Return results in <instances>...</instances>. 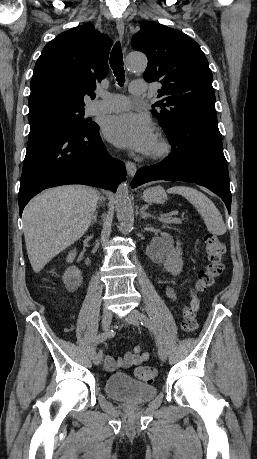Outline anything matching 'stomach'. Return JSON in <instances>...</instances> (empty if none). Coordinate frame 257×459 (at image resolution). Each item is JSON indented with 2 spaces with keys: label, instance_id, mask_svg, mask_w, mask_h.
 <instances>
[{
  "label": "stomach",
  "instance_id": "1",
  "mask_svg": "<svg viewBox=\"0 0 257 459\" xmlns=\"http://www.w3.org/2000/svg\"><path fill=\"white\" fill-rule=\"evenodd\" d=\"M147 203H163L167 199L165 190L161 186L147 188L143 193Z\"/></svg>",
  "mask_w": 257,
  "mask_h": 459
}]
</instances>
